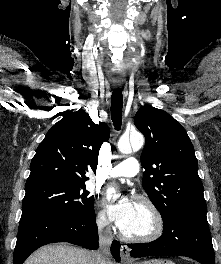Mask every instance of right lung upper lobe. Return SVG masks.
<instances>
[{
    "mask_svg": "<svg viewBox=\"0 0 221 264\" xmlns=\"http://www.w3.org/2000/svg\"><path fill=\"white\" fill-rule=\"evenodd\" d=\"M109 136L106 123L94 124L83 110L69 112L38 146L25 190L50 183L85 185L86 173L96 172L100 147Z\"/></svg>",
    "mask_w": 221,
    "mask_h": 264,
    "instance_id": "obj_1",
    "label": "right lung upper lobe"
}]
</instances>
